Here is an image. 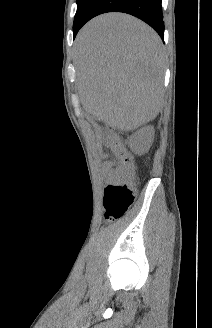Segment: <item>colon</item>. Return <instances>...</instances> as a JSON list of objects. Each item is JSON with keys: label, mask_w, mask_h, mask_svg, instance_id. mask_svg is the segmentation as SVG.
I'll use <instances>...</instances> for the list:
<instances>
[{"label": "colon", "mask_w": 212, "mask_h": 328, "mask_svg": "<svg viewBox=\"0 0 212 328\" xmlns=\"http://www.w3.org/2000/svg\"><path fill=\"white\" fill-rule=\"evenodd\" d=\"M106 144L121 162V181L109 184L104 189L103 206L105 219L109 222L120 219L127 212L136 197V167L133 157L121 142L113 136L106 138Z\"/></svg>", "instance_id": "colon-1"}]
</instances>
